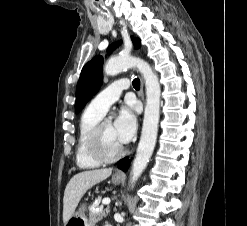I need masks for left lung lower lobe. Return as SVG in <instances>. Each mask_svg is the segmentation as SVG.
I'll use <instances>...</instances> for the list:
<instances>
[{
	"label": "left lung lower lobe",
	"instance_id": "obj_1",
	"mask_svg": "<svg viewBox=\"0 0 247 226\" xmlns=\"http://www.w3.org/2000/svg\"><path fill=\"white\" fill-rule=\"evenodd\" d=\"M129 159L126 157L122 160L119 161V165H118V168L123 170V171H127L128 167H129Z\"/></svg>",
	"mask_w": 247,
	"mask_h": 226
}]
</instances>
